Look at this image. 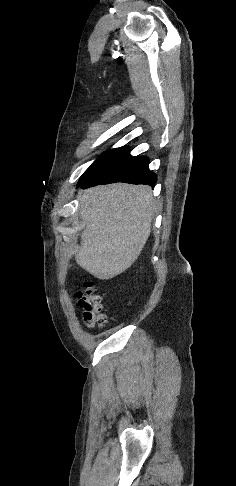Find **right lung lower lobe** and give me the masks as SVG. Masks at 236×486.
<instances>
[{"label": "right lung lower lobe", "mask_w": 236, "mask_h": 486, "mask_svg": "<svg viewBox=\"0 0 236 486\" xmlns=\"http://www.w3.org/2000/svg\"><path fill=\"white\" fill-rule=\"evenodd\" d=\"M146 157H132L128 148H121L97 167L78 186L87 188L100 184L125 182L154 186L157 176L149 171Z\"/></svg>", "instance_id": "98d812e1"}]
</instances>
